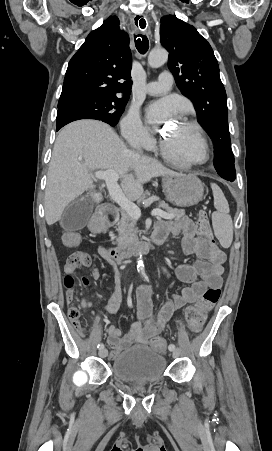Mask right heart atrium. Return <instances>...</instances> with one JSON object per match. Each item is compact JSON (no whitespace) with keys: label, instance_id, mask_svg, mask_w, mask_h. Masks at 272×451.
I'll list each match as a JSON object with an SVG mask.
<instances>
[{"label":"right heart atrium","instance_id":"1","mask_svg":"<svg viewBox=\"0 0 272 451\" xmlns=\"http://www.w3.org/2000/svg\"><path fill=\"white\" fill-rule=\"evenodd\" d=\"M123 131L130 143L147 144L150 135L147 128L143 125L137 111H130L123 120Z\"/></svg>","mask_w":272,"mask_h":451}]
</instances>
